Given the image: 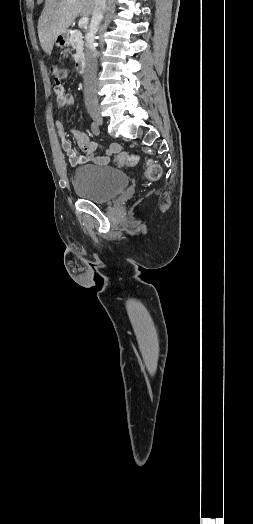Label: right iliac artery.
<instances>
[{
    "mask_svg": "<svg viewBox=\"0 0 253 524\" xmlns=\"http://www.w3.org/2000/svg\"><path fill=\"white\" fill-rule=\"evenodd\" d=\"M91 130H92L93 134L96 135V136H98L99 133H100L99 127H98L97 123H95V122H92Z\"/></svg>",
    "mask_w": 253,
    "mask_h": 524,
    "instance_id": "1",
    "label": "right iliac artery"
}]
</instances>
